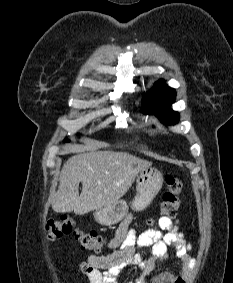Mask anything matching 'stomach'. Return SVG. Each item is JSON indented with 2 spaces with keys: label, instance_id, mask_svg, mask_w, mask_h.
I'll return each mask as SVG.
<instances>
[{
  "label": "stomach",
  "instance_id": "stomach-1",
  "mask_svg": "<svg viewBox=\"0 0 233 283\" xmlns=\"http://www.w3.org/2000/svg\"><path fill=\"white\" fill-rule=\"evenodd\" d=\"M163 184L162 174L154 167L144 168L137 175L136 196L132 201L131 208L135 211H142L147 208L152 200L161 190ZM128 212V205L124 200L97 209L94 218L102 225H114L120 222Z\"/></svg>",
  "mask_w": 233,
  "mask_h": 283
}]
</instances>
